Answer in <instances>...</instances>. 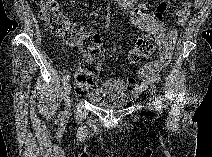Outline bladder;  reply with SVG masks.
I'll return each mask as SVG.
<instances>
[{
  "instance_id": "31cf9c89",
  "label": "bladder",
  "mask_w": 212,
  "mask_h": 157,
  "mask_svg": "<svg viewBox=\"0 0 212 157\" xmlns=\"http://www.w3.org/2000/svg\"><path fill=\"white\" fill-rule=\"evenodd\" d=\"M131 98L126 94H113L97 102V106L106 109H121L127 106Z\"/></svg>"
}]
</instances>
